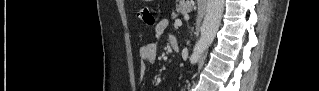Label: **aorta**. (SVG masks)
<instances>
[{"mask_svg":"<svg viewBox=\"0 0 319 91\" xmlns=\"http://www.w3.org/2000/svg\"><path fill=\"white\" fill-rule=\"evenodd\" d=\"M223 10L224 0H207L201 35L190 56L191 64L197 63L200 56L212 44L220 26Z\"/></svg>","mask_w":319,"mask_h":91,"instance_id":"obj_1","label":"aorta"}]
</instances>
